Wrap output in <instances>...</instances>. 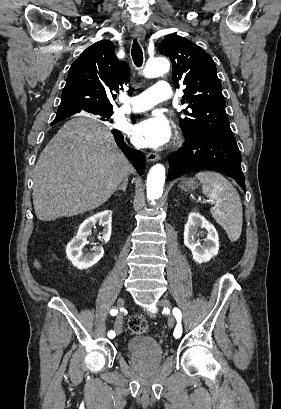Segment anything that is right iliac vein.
Here are the masks:
<instances>
[{
	"mask_svg": "<svg viewBox=\"0 0 281 409\" xmlns=\"http://www.w3.org/2000/svg\"><path fill=\"white\" fill-rule=\"evenodd\" d=\"M123 306H124V298L119 297L118 300H117V308L122 309ZM122 318H123V315L120 312L117 315L116 321H115V324H114L115 332H116L117 335H119L121 333V331H122Z\"/></svg>",
	"mask_w": 281,
	"mask_h": 409,
	"instance_id": "right-iliac-vein-1",
	"label": "right iliac vein"
}]
</instances>
